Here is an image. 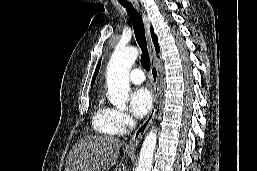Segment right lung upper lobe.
I'll return each instance as SVG.
<instances>
[{
  "label": "right lung upper lobe",
  "instance_id": "right-lung-upper-lobe-1",
  "mask_svg": "<svg viewBox=\"0 0 257 171\" xmlns=\"http://www.w3.org/2000/svg\"><path fill=\"white\" fill-rule=\"evenodd\" d=\"M151 36H152V40H153V43H154L156 52H158V51H159L158 39H157V36L154 34V30H153L152 27H151ZM99 68H100V62L98 63V66H97V68H96V70H95V73H94V77H93L91 86H93V83H94V81H95V77H96L97 74H98Z\"/></svg>",
  "mask_w": 257,
  "mask_h": 171
}]
</instances>
